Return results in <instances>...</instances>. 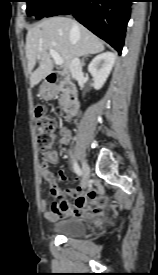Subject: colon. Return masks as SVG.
<instances>
[{
    "instance_id": "5ec220e1",
    "label": "colon",
    "mask_w": 158,
    "mask_h": 275,
    "mask_svg": "<svg viewBox=\"0 0 158 275\" xmlns=\"http://www.w3.org/2000/svg\"><path fill=\"white\" fill-rule=\"evenodd\" d=\"M57 114L61 115L62 110L58 109ZM56 126L57 123L55 119L43 107L36 108V142L39 151H41L42 153L49 151L55 138Z\"/></svg>"
}]
</instances>
